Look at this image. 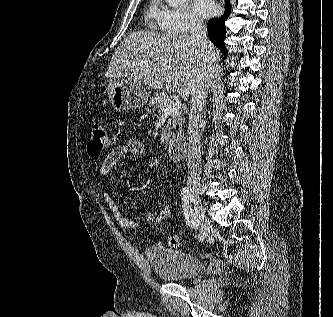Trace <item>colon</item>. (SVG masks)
Segmentation results:
<instances>
[{
  "mask_svg": "<svg viewBox=\"0 0 333 317\" xmlns=\"http://www.w3.org/2000/svg\"><path fill=\"white\" fill-rule=\"evenodd\" d=\"M110 137L108 133L98 124L91 128L90 139L87 143V152L90 156H98L110 146ZM173 215V208L170 204H165L154 212L155 223H162L170 220ZM168 245L172 248H179L181 240L177 235L168 237Z\"/></svg>",
  "mask_w": 333,
  "mask_h": 317,
  "instance_id": "colon-1",
  "label": "colon"
}]
</instances>
